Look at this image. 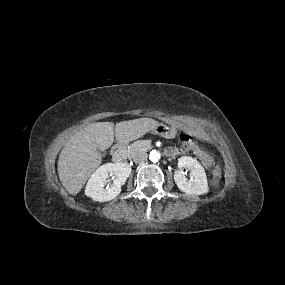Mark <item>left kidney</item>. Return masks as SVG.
I'll return each instance as SVG.
<instances>
[{
  "instance_id": "left-kidney-1",
  "label": "left kidney",
  "mask_w": 285,
  "mask_h": 285,
  "mask_svg": "<svg viewBox=\"0 0 285 285\" xmlns=\"http://www.w3.org/2000/svg\"><path fill=\"white\" fill-rule=\"evenodd\" d=\"M178 168L174 180L178 188L191 195H202L209 191L207 177L203 166L194 158L182 156L178 159ZM189 169L192 179L187 181L182 169Z\"/></svg>"
}]
</instances>
